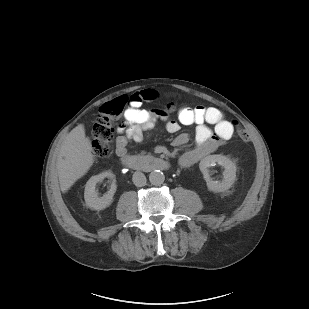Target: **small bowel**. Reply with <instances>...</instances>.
I'll use <instances>...</instances> for the list:
<instances>
[{
    "mask_svg": "<svg viewBox=\"0 0 309 309\" xmlns=\"http://www.w3.org/2000/svg\"><path fill=\"white\" fill-rule=\"evenodd\" d=\"M155 98L156 92L153 90L141 91L129 97L124 114L125 125L118 129L120 135L116 144L117 156H126L128 142L141 141L144 130L154 128L159 120L165 122L166 130L169 133H177L180 130V125L196 126L194 147L185 151L180 157L181 167L191 166L216 151L234 134V125L225 120L222 112L215 107L201 105L182 107L178 111V121H176L169 119L168 114L163 110L148 111L143 108L144 102ZM188 141L189 136L182 133L176 136L174 145L182 146Z\"/></svg>",
    "mask_w": 309,
    "mask_h": 309,
    "instance_id": "small-bowel-1",
    "label": "small bowel"
}]
</instances>
